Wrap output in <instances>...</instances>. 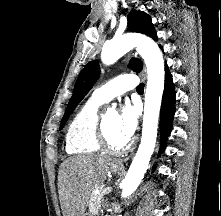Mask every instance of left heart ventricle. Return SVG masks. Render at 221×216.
I'll return each mask as SVG.
<instances>
[{
  "label": "left heart ventricle",
  "instance_id": "left-heart-ventricle-1",
  "mask_svg": "<svg viewBox=\"0 0 221 216\" xmlns=\"http://www.w3.org/2000/svg\"><path fill=\"white\" fill-rule=\"evenodd\" d=\"M105 126L109 139L113 144L120 145L128 141L120 131L118 113L109 112L105 116Z\"/></svg>",
  "mask_w": 221,
  "mask_h": 216
}]
</instances>
